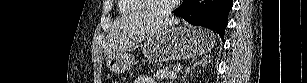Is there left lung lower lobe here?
Here are the masks:
<instances>
[{
  "instance_id": "obj_1",
  "label": "left lung lower lobe",
  "mask_w": 307,
  "mask_h": 83,
  "mask_svg": "<svg viewBox=\"0 0 307 83\" xmlns=\"http://www.w3.org/2000/svg\"><path fill=\"white\" fill-rule=\"evenodd\" d=\"M232 7L233 0H184L173 13L192 25L204 26L217 32L224 40Z\"/></svg>"
}]
</instances>
